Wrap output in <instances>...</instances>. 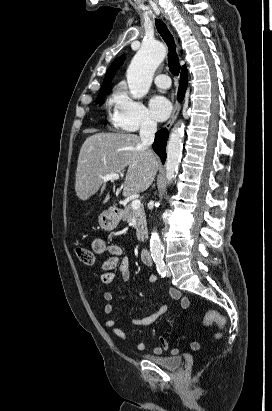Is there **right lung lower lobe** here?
Wrapping results in <instances>:
<instances>
[{"mask_svg": "<svg viewBox=\"0 0 272 411\" xmlns=\"http://www.w3.org/2000/svg\"><path fill=\"white\" fill-rule=\"evenodd\" d=\"M187 84H188V72H187V68H184L181 70L180 85H179V90H178V100L179 101H181L184 97ZM168 136L169 134H168L167 129L163 128L155 134V141L153 143V150L158 154V156L161 158L163 163L166 159L165 147H166Z\"/></svg>", "mask_w": 272, "mask_h": 411, "instance_id": "right-lung-lower-lobe-1", "label": "right lung lower lobe"}]
</instances>
